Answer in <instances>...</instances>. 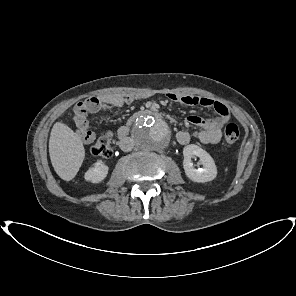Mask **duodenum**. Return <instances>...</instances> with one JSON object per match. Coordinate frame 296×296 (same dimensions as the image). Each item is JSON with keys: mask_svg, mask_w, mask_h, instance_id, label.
<instances>
[{"mask_svg": "<svg viewBox=\"0 0 296 296\" xmlns=\"http://www.w3.org/2000/svg\"><path fill=\"white\" fill-rule=\"evenodd\" d=\"M147 115H152L158 119L162 118V115L159 112L151 110V109H143V110L136 112L132 116L130 121L118 130V139H119V143L121 146H123L127 142L130 127L135 122L136 118H139L142 116H147Z\"/></svg>", "mask_w": 296, "mask_h": 296, "instance_id": "410a0bca", "label": "duodenum"}]
</instances>
